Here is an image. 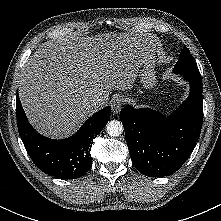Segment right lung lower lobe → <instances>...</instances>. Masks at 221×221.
Returning a JSON list of instances; mask_svg holds the SVG:
<instances>
[{
  "label": "right lung lower lobe",
  "instance_id": "98d812e1",
  "mask_svg": "<svg viewBox=\"0 0 221 221\" xmlns=\"http://www.w3.org/2000/svg\"><path fill=\"white\" fill-rule=\"evenodd\" d=\"M16 115L20 137L35 165L56 178L74 179L91 168L90 151L93 139L110 119L111 110L108 106L98 111L76 134L63 140H52L37 133L29 124L18 95Z\"/></svg>",
  "mask_w": 221,
  "mask_h": 221
}]
</instances>
